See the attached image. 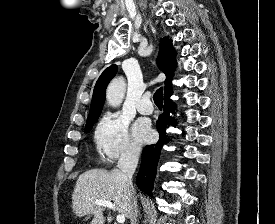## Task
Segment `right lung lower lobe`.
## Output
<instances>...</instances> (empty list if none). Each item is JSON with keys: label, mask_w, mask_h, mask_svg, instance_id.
I'll list each match as a JSON object with an SVG mask.
<instances>
[{"label": "right lung lower lobe", "mask_w": 275, "mask_h": 224, "mask_svg": "<svg viewBox=\"0 0 275 224\" xmlns=\"http://www.w3.org/2000/svg\"><path fill=\"white\" fill-rule=\"evenodd\" d=\"M172 88L164 92V112L159 116L157 129L160 135L159 141L153 145H147L143 151L140 170L137 175V186L140 190L152 196V188L156 175L157 163L162 145L166 141L165 128L167 125H175L169 114L173 113L174 105L170 100Z\"/></svg>", "instance_id": "1"}]
</instances>
